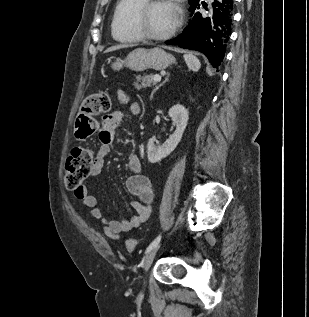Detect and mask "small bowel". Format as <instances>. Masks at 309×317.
Listing matches in <instances>:
<instances>
[{
    "mask_svg": "<svg viewBox=\"0 0 309 317\" xmlns=\"http://www.w3.org/2000/svg\"><path fill=\"white\" fill-rule=\"evenodd\" d=\"M119 96L124 102L128 100L123 92H119ZM131 108L134 113L139 111L137 104H133ZM123 120L124 115L120 111H115L104 116L102 128L99 132L100 147L94 159L91 176H99L101 174L104 160L112 150L116 137V129ZM128 166L131 175L126 180V188L130 194L137 197V200L133 203L135 215L130 219L114 221L105 218L102 210L97 207V198L89 192L86 184H83L77 191H74L76 199L82 205L92 209V217L102 222L105 235L112 239H119L122 234L128 233L138 227L148 219L151 213L154 193L150 180L141 174L140 161L136 155L130 156Z\"/></svg>",
    "mask_w": 309,
    "mask_h": 317,
    "instance_id": "obj_1",
    "label": "small bowel"
}]
</instances>
